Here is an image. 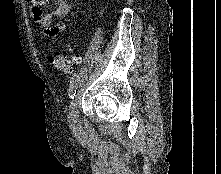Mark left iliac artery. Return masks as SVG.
<instances>
[{"instance_id": "obj_1", "label": "left iliac artery", "mask_w": 221, "mask_h": 174, "mask_svg": "<svg viewBox=\"0 0 221 174\" xmlns=\"http://www.w3.org/2000/svg\"><path fill=\"white\" fill-rule=\"evenodd\" d=\"M78 81H79V76L77 73H75L70 80V86H69V96L70 99H74V96L76 94V89H77V85H78Z\"/></svg>"}]
</instances>
